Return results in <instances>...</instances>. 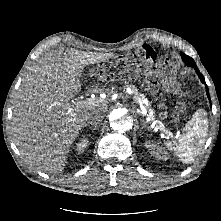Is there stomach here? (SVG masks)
Segmentation results:
<instances>
[{"mask_svg": "<svg viewBox=\"0 0 221 221\" xmlns=\"http://www.w3.org/2000/svg\"><path fill=\"white\" fill-rule=\"evenodd\" d=\"M143 82L148 91L156 94L157 92L163 90L166 81L161 72L154 70L145 75Z\"/></svg>", "mask_w": 221, "mask_h": 221, "instance_id": "obj_1", "label": "stomach"}]
</instances>
